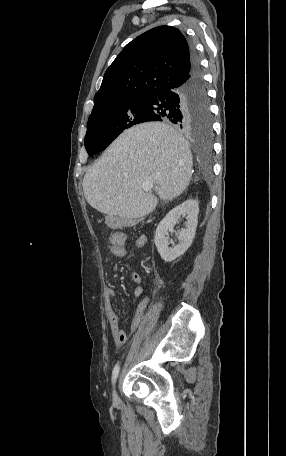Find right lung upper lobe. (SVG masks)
Segmentation results:
<instances>
[{"label": "right lung upper lobe", "mask_w": 286, "mask_h": 456, "mask_svg": "<svg viewBox=\"0 0 286 456\" xmlns=\"http://www.w3.org/2000/svg\"><path fill=\"white\" fill-rule=\"evenodd\" d=\"M190 52L186 38L171 26H159L138 36L105 72L92 114L111 103L145 98L184 82L190 70Z\"/></svg>", "instance_id": "1"}]
</instances>
